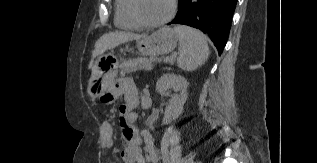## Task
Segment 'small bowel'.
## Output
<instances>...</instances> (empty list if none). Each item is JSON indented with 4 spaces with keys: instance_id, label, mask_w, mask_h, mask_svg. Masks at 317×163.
Segmentation results:
<instances>
[{
    "instance_id": "obj_1",
    "label": "small bowel",
    "mask_w": 317,
    "mask_h": 163,
    "mask_svg": "<svg viewBox=\"0 0 317 163\" xmlns=\"http://www.w3.org/2000/svg\"><path fill=\"white\" fill-rule=\"evenodd\" d=\"M113 95L114 98H123L120 106V124L123 130L124 147L121 157L124 163H157L159 154L152 135L148 131L138 130L135 125L138 118L136 110L140 105L138 88L131 80L124 79L117 83ZM101 130V147L106 150L111 149L113 146L112 125L104 122ZM142 143H144L143 146Z\"/></svg>"
}]
</instances>
